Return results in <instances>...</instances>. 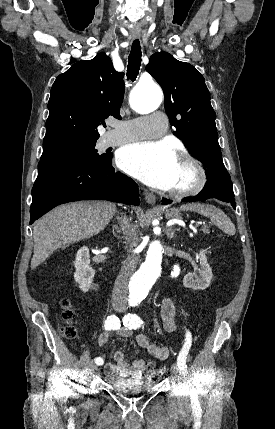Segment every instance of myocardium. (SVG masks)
<instances>
[{
    "instance_id": "1",
    "label": "myocardium",
    "mask_w": 275,
    "mask_h": 429,
    "mask_svg": "<svg viewBox=\"0 0 275 429\" xmlns=\"http://www.w3.org/2000/svg\"><path fill=\"white\" fill-rule=\"evenodd\" d=\"M179 160L187 164L194 173V180L186 188L182 189H170L168 191L169 196L177 199L187 198L200 193L206 185L207 174L205 168L198 159L188 153H181Z\"/></svg>"
}]
</instances>
